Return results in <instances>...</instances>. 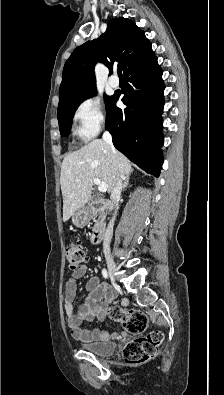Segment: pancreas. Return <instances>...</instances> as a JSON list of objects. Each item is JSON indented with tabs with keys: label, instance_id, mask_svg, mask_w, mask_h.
<instances>
[{
	"label": "pancreas",
	"instance_id": "obj_1",
	"mask_svg": "<svg viewBox=\"0 0 224 395\" xmlns=\"http://www.w3.org/2000/svg\"><path fill=\"white\" fill-rule=\"evenodd\" d=\"M96 213H98V215H96V218L94 219L95 225H94V229H98L105 221L106 219V212L103 208H99L96 210Z\"/></svg>",
	"mask_w": 224,
	"mask_h": 395
}]
</instances>
